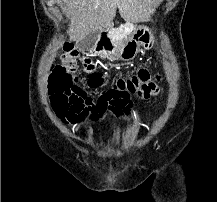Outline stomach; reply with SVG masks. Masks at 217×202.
I'll return each mask as SVG.
<instances>
[{
  "mask_svg": "<svg viewBox=\"0 0 217 202\" xmlns=\"http://www.w3.org/2000/svg\"><path fill=\"white\" fill-rule=\"evenodd\" d=\"M141 46L144 50H151L154 46V36L148 26H137L133 34H130L128 38H123L119 46L118 58L125 62L133 60L140 52Z\"/></svg>",
  "mask_w": 217,
  "mask_h": 202,
  "instance_id": "obj_1",
  "label": "stomach"
}]
</instances>
